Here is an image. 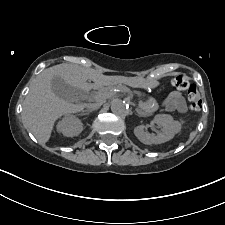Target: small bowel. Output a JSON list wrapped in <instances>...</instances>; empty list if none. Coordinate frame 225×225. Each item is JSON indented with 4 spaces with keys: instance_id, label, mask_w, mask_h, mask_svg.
I'll return each instance as SVG.
<instances>
[{
    "instance_id": "c3829d8e",
    "label": "small bowel",
    "mask_w": 225,
    "mask_h": 225,
    "mask_svg": "<svg viewBox=\"0 0 225 225\" xmlns=\"http://www.w3.org/2000/svg\"><path fill=\"white\" fill-rule=\"evenodd\" d=\"M164 108L169 112L185 113L187 111L185 99L179 92H172L168 95Z\"/></svg>"
}]
</instances>
